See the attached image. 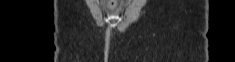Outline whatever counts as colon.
Instances as JSON below:
<instances>
[{"label":"colon","instance_id":"colon-1","mask_svg":"<svg viewBox=\"0 0 235 62\" xmlns=\"http://www.w3.org/2000/svg\"><path fill=\"white\" fill-rule=\"evenodd\" d=\"M110 5H111V6H114V5H115V0H111V1H110Z\"/></svg>","mask_w":235,"mask_h":62}]
</instances>
